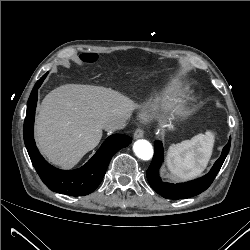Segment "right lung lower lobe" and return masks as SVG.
I'll list each match as a JSON object with an SVG mask.
<instances>
[{"label":"right lung lower lobe","instance_id":"1","mask_svg":"<svg viewBox=\"0 0 250 250\" xmlns=\"http://www.w3.org/2000/svg\"><path fill=\"white\" fill-rule=\"evenodd\" d=\"M47 74L37 81L28 99L23 129L25 146L36 172L50 190L70 196L88 195L102 181L113 155L121 148L127 147L132 139L123 134L109 136L96 154L84 166L76 170H60L46 162L35 145L33 128L38 88Z\"/></svg>","mask_w":250,"mask_h":250}]
</instances>
